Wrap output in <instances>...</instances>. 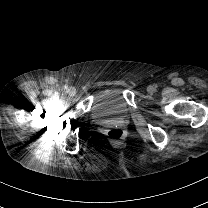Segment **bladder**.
<instances>
[{
    "label": "bladder",
    "instance_id": "31cf9c89",
    "mask_svg": "<svg viewBox=\"0 0 208 208\" xmlns=\"http://www.w3.org/2000/svg\"><path fill=\"white\" fill-rule=\"evenodd\" d=\"M122 100L117 92L109 93L101 98H98L93 106V113L97 115H120Z\"/></svg>",
    "mask_w": 208,
    "mask_h": 208
}]
</instances>
